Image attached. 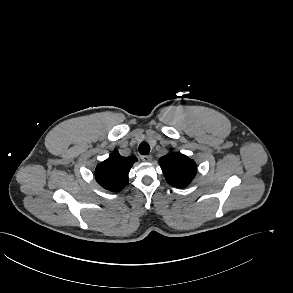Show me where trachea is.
I'll return each instance as SVG.
<instances>
[{
  "label": "trachea",
  "mask_w": 293,
  "mask_h": 293,
  "mask_svg": "<svg viewBox=\"0 0 293 293\" xmlns=\"http://www.w3.org/2000/svg\"><path fill=\"white\" fill-rule=\"evenodd\" d=\"M150 152V146L146 142H142L139 145V153L142 155H147Z\"/></svg>",
  "instance_id": "trachea-1"
}]
</instances>
